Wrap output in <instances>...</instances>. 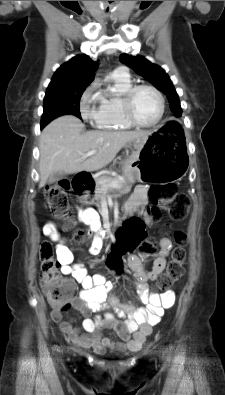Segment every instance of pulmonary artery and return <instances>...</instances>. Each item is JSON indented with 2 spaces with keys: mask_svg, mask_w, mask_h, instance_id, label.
I'll return each mask as SVG.
<instances>
[{
  "mask_svg": "<svg viewBox=\"0 0 225 395\" xmlns=\"http://www.w3.org/2000/svg\"><path fill=\"white\" fill-rule=\"evenodd\" d=\"M114 73H117V74L122 75V76H128V70H127V68L124 67V66L118 67V68L114 71Z\"/></svg>",
  "mask_w": 225,
  "mask_h": 395,
  "instance_id": "e3ab8cb5",
  "label": "pulmonary artery"
}]
</instances>
